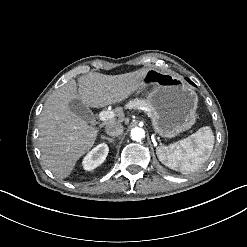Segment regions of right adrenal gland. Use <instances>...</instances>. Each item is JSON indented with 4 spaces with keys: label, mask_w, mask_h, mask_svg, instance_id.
I'll return each instance as SVG.
<instances>
[{
    "label": "right adrenal gland",
    "mask_w": 247,
    "mask_h": 247,
    "mask_svg": "<svg viewBox=\"0 0 247 247\" xmlns=\"http://www.w3.org/2000/svg\"><path fill=\"white\" fill-rule=\"evenodd\" d=\"M101 138H102V139H106V140H108V141L111 142V143L114 141L113 138H109V137H106V136H103V135H101Z\"/></svg>",
    "instance_id": "obj_1"
}]
</instances>
